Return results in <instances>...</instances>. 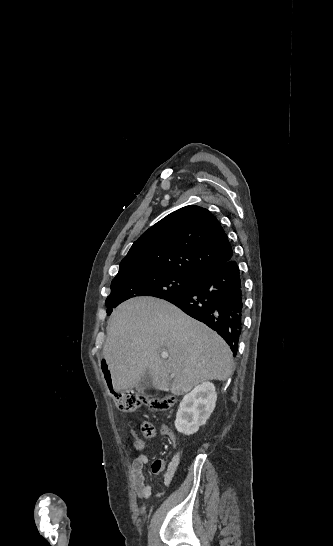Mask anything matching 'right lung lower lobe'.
Returning <instances> with one entry per match:
<instances>
[{
	"label": "right lung lower lobe",
	"mask_w": 333,
	"mask_h": 546,
	"mask_svg": "<svg viewBox=\"0 0 333 546\" xmlns=\"http://www.w3.org/2000/svg\"><path fill=\"white\" fill-rule=\"evenodd\" d=\"M164 300L215 330L236 356L244 301L240 270L233 258L201 275L187 292Z\"/></svg>",
	"instance_id": "obj_1"
}]
</instances>
